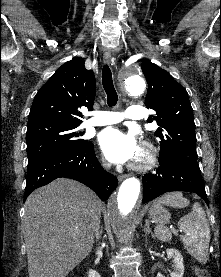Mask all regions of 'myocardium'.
<instances>
[{"mask_svg":"<svg viewBox=\"0 0 221 277\" xmlns=\"http://www.w3.org/2000/svg\"><path fill=\"white\" fill-rule=\"evenodd\" d=\"M141 153L142 158L131 163L129 168L137 172H146L157 163V150L150 142L144 141L141 144Z\"/></svg>","mask_w":221,"mask_h":277,"instance_id":"obj_1","label":"myocardium"}]
</instances>
